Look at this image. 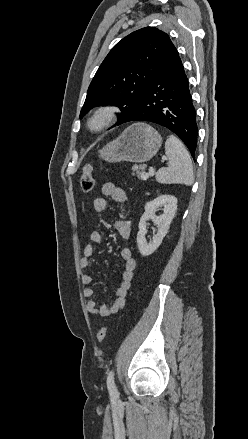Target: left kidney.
Segmentation results:
<instances>
[{"label":"left kidney","mask_w":248,"mask_h":439,"mask_svg":"<svg viewBox=\"0 0 248 439\" xmlns=\"http://www.w3.org/2000/svg\"><path fill=\"white\" fill-rule=\"evenodd\" d=\"M163 207L164 213L157 216L156 211ZM177 210V198L172 195H160L146 203L145 212L140 218L137 245L142 256L151 255L162 243ZM151 219L157 227V233L152 241L147 242V221Z\"/></svg>","instance_id":"obj_1"}]
</instances>
